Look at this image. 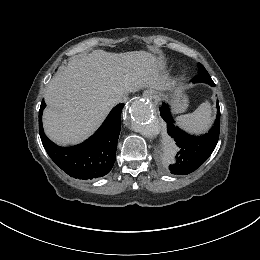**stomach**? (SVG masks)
Segmentation results:
<instances>
[{"label": "stomach", "mask_w": 260, "mask_h": 260, "mask_svg": "<svg viewBox=\"0 0 260 260\" xmlns=\"http://www.w3.org/2000/svg\"><path fill=\"white\" fill-rule=\"evenodd\" d=\"M172 112L175 114L183 113L188 108V97L185 93L176 91L171 95Z\"/></svg>", "instance_id": "1"}]
</instances>
